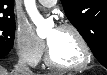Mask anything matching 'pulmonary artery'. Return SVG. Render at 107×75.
Wrapping results in <instances>:
<instances>
[{"mask_svg": "<svg viewBox=\"0 0 107 75\" xmlns=\"http://www.w3.org/2000/svg\"><path fill=\"white\" fill-rule=\"evenodd\" d=\"M38 2L45 7H53L57 1L56 0H39Z\"/></svg>", "mask_w": 107, "mask_h": 75, "instance_id": "obj_1", "label": "pulmonary artery"}]
</instances>
